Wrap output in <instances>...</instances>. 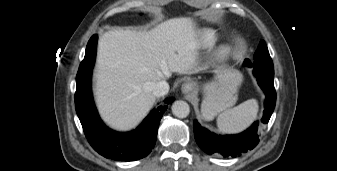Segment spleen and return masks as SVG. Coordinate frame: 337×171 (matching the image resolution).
I'll return each mask as SVG.
<instances>
[{"instance_id": "obj_1", "label": "spleen", "mask_w": 337, "mask_h": 171, "mask_svg": "<svg viewBox=\"0 0 337 171\" xmlns=\"http://www.w3.org/2000/svg\"><path fill=\"white\" fill-rule=\"evenodd\" d=\"M258 103L249 99L238 106L221 113L217 118L221 133H237L249 126L257 117Z\"/></svg>"}]
</instances>
